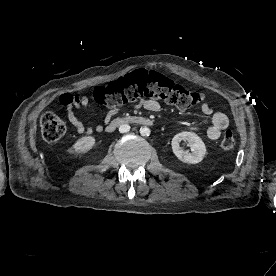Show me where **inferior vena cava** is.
<instances>
[{
	"instance_id": "obj_1",
	"label": "inferior vena cava",
	"mask_w": 276,
	"mask_h": 276,
	"mask_svg": "<svg viewBox=\"0 0 276 276\" xmlns=\"http://www.w3.org/2000/svg\"><path fill=\"white\" fill-rule=\"evenodd\" d=\"M130 130V126L128 124H122L119 127V132L120 133H126Z\"/></svg>"
}]
</instances>
